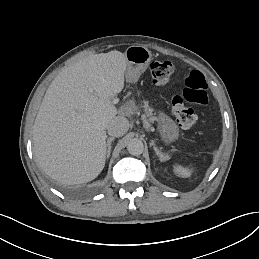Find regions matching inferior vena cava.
I'll list each match as a JSON object with an SVG mask.
<instances>
[{"mask_svg":"<svg viewBox=\"0 0 259 259\" xmlns=\"http://www.w3.org/2000/svg\"><path fill=\"white\" fill-rule=\"evenodd\" d=\"M108 134L113 137L123 136L129 129V121L123 116H116L108 125Z\"/></svg>","mask_w":259,"mask_h":259,"instance_id":"obj_1","label":"inferior vena cava"}]
</instances>
